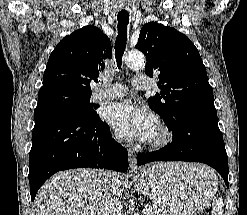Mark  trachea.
<instances>
[{"label": "trachea", "mask_w": 247, "mask_h": 215, "mask_svg": "<svg viewBox=\"0 0 247 215\" xmlns=\"http://www.w3.org/2000/svg\"><path fill=\"white\" fill-rule=\"evenodd\" d=\"M117 20L118 35L115 41V57L117 66L120 69L127 41V25L129 23V13L126 11L119 12L117 15Z\"/></svg>", "instance_id": "1"}]
</instances>
